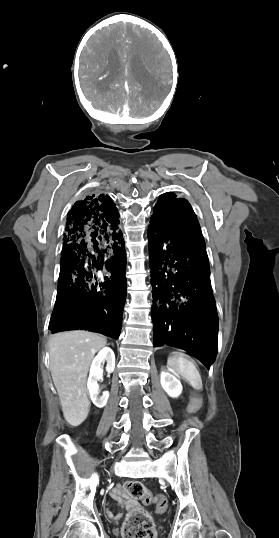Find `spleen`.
Instances as JSON below:
<instances>
[{
    "label": "spleen",
    "mask_w": 279,
    "mask_h": 538,
    "mask_svg": "<svg viewBox=\"0 0 279 538\" xmlns=\"http://www.w3.org/2000/svg\"><path fill=\"white\" fill-rule=\"evenodd\" d=\"M168 368L183 376L188 380V384L194 388L196 394L202 393V383L203 380L200 378L198 370H196L192 360H188L185 354H180V352H172L167 360Z\"/></svg>",
    "instance_id": "obj_1"
}]
</instances>
